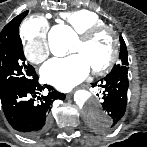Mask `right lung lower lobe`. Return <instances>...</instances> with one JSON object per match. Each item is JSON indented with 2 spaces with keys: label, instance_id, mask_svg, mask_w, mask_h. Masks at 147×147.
Returning <instances> with one entry per match:
<instances>
[{
  "label": "right lung lower lobe",
  "instance_id": "right-lung-lower-lobe-1",
  "mask_svg": "<svg viewBox=\"0 0 147 147\" xmlns=\"http://www.w3.org/2000/svg\"><path fill=\"white\" fill-rule=\"evenodd\" d=\"M46 96H38L44 89L35 75L26 85L16 86L0 92L2 108L9 124L25 136L36 137L47 131L50 122L48 113L55 99H65L49 85ZM37 98V99H36Z\"/></svg>",
  "mask_w": 147,
  "mask_h": 147
}]
</instances>
